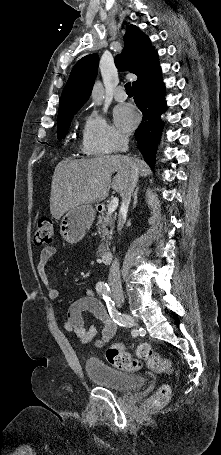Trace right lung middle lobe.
<instances>
[{
  "label": "right lung middle lobe",
  "mask_w": 221,
  "mask_h": 455,
  "mask_svg": "<svg viewBox=\"0 0 221 455\" xmlns=\"http://www.w3.org/2000/svg\"><path fill=\"white\" fill-rule=\"evenodd\" d=\"M76 112H66L58 115V130L57 137L62 139L66 136V132L70 126L73 116Z\"/></svg>",
  "instance_id": "obj_1"
}]
</instances>
